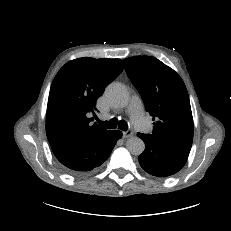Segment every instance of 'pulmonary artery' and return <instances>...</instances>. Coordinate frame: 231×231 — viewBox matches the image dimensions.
<instances>
[{
	"label": "pulmonary artery",
	"mask_w": 231,
	"mask_h": 231,
	"mask_svg": "<svg viewBox=\"0 0 231 231\" xmlns=\"http://www.w3.org/2000/svg\"><path fill=\"white\" fill-rule=\"evenodd\" d=\"M127 113L132 124L142 132H150L151 126L144 116L142 101L139 96L134 95L127 106Z\"/></svg>",
	"instance_id": "pulmonary-artery-1"
}]
</instances>
